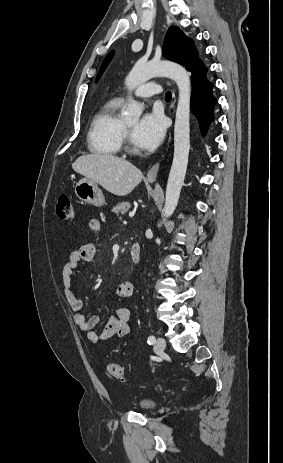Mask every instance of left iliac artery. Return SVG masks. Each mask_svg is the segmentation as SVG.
Returning a JSON list of instances; mask_svg holds the SVG:
<instances>
[{"instance_id":"left-iliac-artery-1","label":"left iliac artery","mask_w":283,"mask_h":463,"mask_svg":"<svg viewBox=\"0 0 283 463\" xmlns=\"http://www.w3.org/2000/svg\"><path fill=\"white\" fill-rule=\"evenodd\" d=\"M149 345H152L155 343V337L153 335H150L147 340Z\"/></svg>"}]
</instances>
